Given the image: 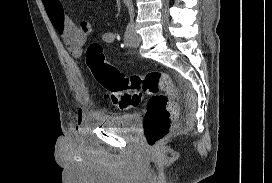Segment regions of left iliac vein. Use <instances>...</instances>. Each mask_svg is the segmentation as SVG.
I'll return each instance as SVG.
<instances>
[{
	"instance_id": "obj_1",
	"label": "left iliac vein",
	"mask_w": 272,
	"mask_h": 183,
	"mask_svg": "<svg viewBox=\"0 0 272 183\" xmlns=\"http://www.w3.org/2000/svg\"><path fill=\"white\" fill-rule=\"evenodd\" d=\"M140 37L139 35L135 32V29H133V38H132V46L137 47L140 44Z\"/></svg>"
}]
</instances>
